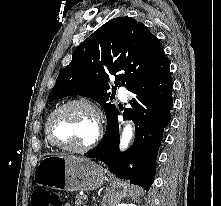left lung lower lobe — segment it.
Returning <instances> with one entry per match:
<instances>
[{
	"label": "left lung lower lobe",
	"instance_id": "left-lung-lower-lobe-1",
	"mask_svg": "<svg viewBox=\"0 0 221 206\" xmlns=\"http://www.w3.org/2000/svg\"><path fill=\"white\" fill-rule=\"evenodd\" d=\"M131 108L124 113L125 119L135 123L136 136L133 145L119 153L118 111L111 129L101 142L84 156L96 158L108 165L111 172L131 182L144 186L147 190L154 180L156 158L163 130L170 122L172 100V79L170 68L144 81L130 90ZM133 167L130 168L129 164Z\"/></svg>",
	"mask_w": 221,
	"mask_h": 206
}]
</instances>
